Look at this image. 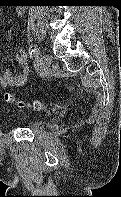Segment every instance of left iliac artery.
<instances>
[{
    "mask_svg": "<svg viewBox=\"0 0 121 197\" xmlns=\"http://www.w3.org/2000/svg\"><path fill=\"white\" fill-rule=\"evenodd\" d=\"M39 54H40V51H39L38 48H33V49L29 52V56H30L31 58H34L35 60H38Z\"/></svg>",
    "mask_w": 121,
    "mask_h": 197,
    "instance_id": "44dca946",
    "label": "left iliac artery"
}]
</instances>
